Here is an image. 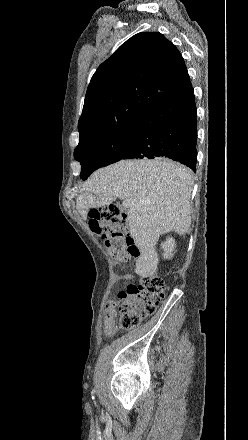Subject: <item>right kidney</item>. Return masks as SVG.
Listing matches in <instances>:
<instances>
[{"label":"right kidney","instance_id":"ca27d5eb","mask_svg":"<svg viewBox=\"0 0 248 440\" xmlns=\"http://www.w3.org/2000/svg\"><path fill=\"white\" fill-rule=\"evenodd\" d=\"M161 246L164 250V254H163L164 258L166 259L172 258L174 255L173 251L176 247L175 240L172 237L171 238L169 237L168 239H166L164 243H162Z\"/></svg>","mask_w":248,"mask_h":440}]
</instances>
